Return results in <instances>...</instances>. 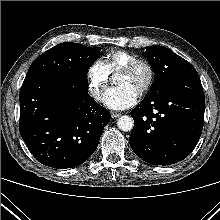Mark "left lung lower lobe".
<instances>
[{
	"mask_svg": "<svg viewBox=\"0 0 220 220\" xmlns=\"http://www.w3.org/2000/svg\"><path fill=\"white\" fill-rule=\"evenodd\" d=\"M204 94L198 74L178 78L165 90L144 98L130 112L129 143L142 160L170 165L195 148L204 123Z\"/></svg>",
	"mask_w": 220,
	"mask_h": 220,
	"instance_id": "obj_1",
	"label": "left lung lower lobe"
}]
</instances>
